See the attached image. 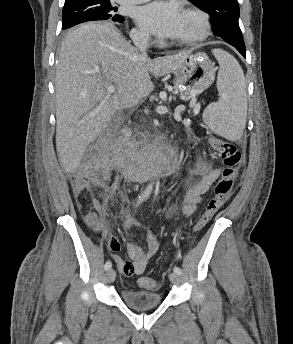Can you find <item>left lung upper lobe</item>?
<instances>
[{"label": "left lung upper lobe", "instance_id": "5c2ea615", "mask_svg": "<svg viewBox=\"0 0 293 344\" xmlns=\"http://www.w3.org/2000/svg\"><path fill=\"white\" fill-rule=\"evenodd\" d=\"M211 16L213 32L232 45H244L237 0H188Z\"/></svg>", "mask_w": 293, "mask_h": 344}]
</instances>
